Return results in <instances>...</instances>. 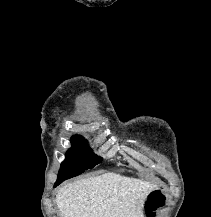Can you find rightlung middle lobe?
I'll use <instances>...</instances> for the list:
<instances>
[{"instance_id": "obj_1", "label": "right lung middle lobe", "mask_w": 211, "mask_h": 217, "mask_svg": "<svg viewBox=\"0 0 211 217\" xmlns=\"http://www.w3.org/2000/svg\"><path fill=\"white\" fill-rule=\"evenodd\" d=\"M72 148L67 151L66 159L62 162L57 180H66L77 176L85 170L94 167L102 161L88 147L81 136L71 138Z\"/></svg>"}]
</instances>
